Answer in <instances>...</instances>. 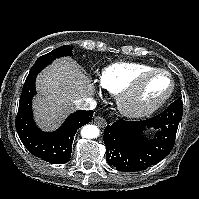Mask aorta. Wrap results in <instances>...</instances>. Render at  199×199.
Here are the masks:
<instances>
[{
  "instance_id": "obj_1",
  "label": "aorta",
  "mask_w": 199,
  "mask_h": 199,
  "mask_svg": "<svg viewBox=\"0 0 199 199\" xmlns=\"http://www.w3.org/2000/svg\"><path fill=\"white\" fill-rule=\"evenodd\" d=\"M99 128L95 125H85L84 127H82L81 129V135L84 138H96L99 136Z\"/></svg>"
}]
</instances>
